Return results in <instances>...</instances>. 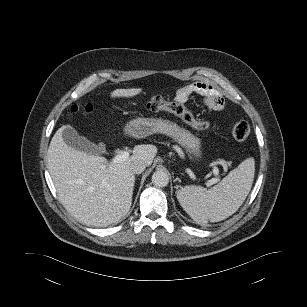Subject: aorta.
<instances>
[{"instance_id": "obj_1", "label": "aorta", "mask_w": 307, "mask_h": 307, "mask_svg": "<svg viewBox=\"0 0 307 307\" xmlns=\"http://www.w3.org/2000/svg\"><path fill=\"white\" fill-rule=\"evenodd\" d=\"M152 183L156 187H165L169 183V175L164 170H157L152 175Z\"/></svg>"}]
</instances>
